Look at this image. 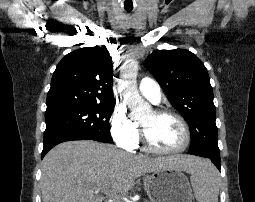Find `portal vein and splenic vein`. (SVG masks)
<instances>
[{
    "label": "portal vein and splenic vein",
    "instance_id": "obj_1",
    "mask_svg": "<svg viewBox=\"0 0 255 202\" xmlns=\"http://www.w3.org/2000/svg\"><path fill=\"white\" fill-rule=\"evenodd\" d=\"M104 192L106 193V194H110V192L108 191V189H104Z\"/></svg>",
    "mask_w": 255,
    "mask_h": 202
}]
</instances>
